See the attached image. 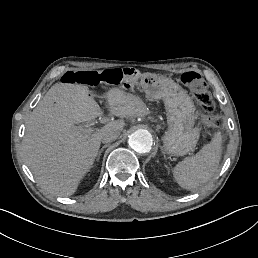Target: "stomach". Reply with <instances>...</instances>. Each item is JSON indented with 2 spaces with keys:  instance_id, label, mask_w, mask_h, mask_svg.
<instances>
[{
  "instance_id": "stomach-1",
  "label": "stomach",
  "mask_w": 258,
  "mask_h": 258,
  "mask_svg": "<svg viewBox=\"0 0 258 258\" xmlns=\"http://www.w3.org/2000/svg\"><path fill=\"white\" fill-rule=\"evenodd\" d=\"M122 83L130 90L139 85L147 96L164 101L169 128L163 141L168 153L185 155L193 151L199 131L193 129L195 109L186 91L169 78L139 72L126 74Z\"/></svg>"
}]
</instances>
